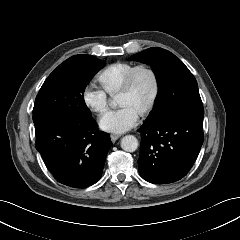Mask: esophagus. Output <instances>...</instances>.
Masks as SVG:
<instances>
[{"label": "esophagus", "mask_w": 240, "mask_h": 240, "mask_svg": "<svg viewBox=\"0 0 240 240\" xmlns=\"http://www.w3.org/2000/svg\"><path fill=\"white\" fill-rule=\"evenodd\" d=\"M120 136L119 135H116V134H111L110 135V138H111V141L112 142H115Z\"/></svg>", "instance_id": "obj_1"}]
</instances>
